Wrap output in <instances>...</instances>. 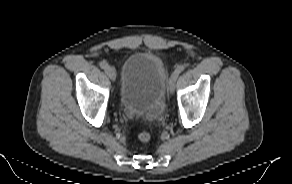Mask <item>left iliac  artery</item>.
<instances>
[{
	"label": "left iliac artery",
	"instance_id": "left-iliac-artery-1",
	"mask_svg": "<svg viewBox=\"0 0 292 184\" xmlns=\"http://www.w3.org/2000/svg\"><path fill=\"white\" fill-rule=\"evenodd\" d=\"M184 70V66L183 65H179L177 66V68L175 69V73H177L178 75Z\"/></svg>",
	"mask_w": 292,
	"mask_h": 184
}]
</instances>
